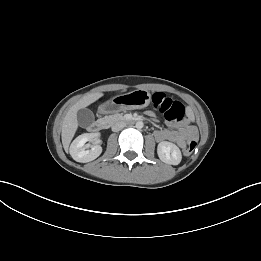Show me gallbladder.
Here are the masks:
<instances>
[{
	"instance_id": "bac80fb5",
	"label": "gallbladder",
	"mask_w": 261,
	"mask_h": 261,
	"mask_svg": "<svg viewBox=\"0 0 261 261\" xmlns=\"http://www.w3.org/2000/svg\"><path fill=\"white\" fill-rule=\"evenodd\" d=\"M77 120L81 127L87 128L94 122V114L87 108L80 109L77 112Z\"/></svg>"
}]
</instances>
